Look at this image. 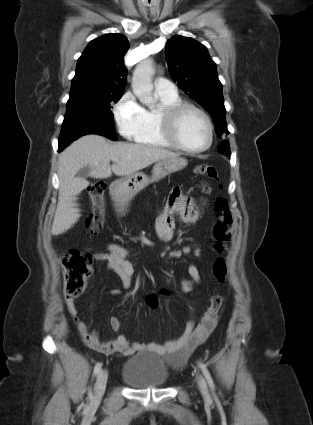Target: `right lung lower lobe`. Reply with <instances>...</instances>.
Masks as SVG:
<instances>
[{
	"instance_id": "obj_1",
	"label": "right lung lower lobe",
	"mask_w": 313,
	"mask_h": 425,
	"mask_svg": "<svg viewBox=\"0 0 313 425\" xmlns=\"http://www.w3.org/2000/svg\"><path fill=\"white\" fill-rule=\"evenodd\" d=\"M88 134H98L116 140L112 121L106 120L100 115L71 113L68 118H64L58 152H61L72 141Z\"/></svg>"
}]
</instances>
